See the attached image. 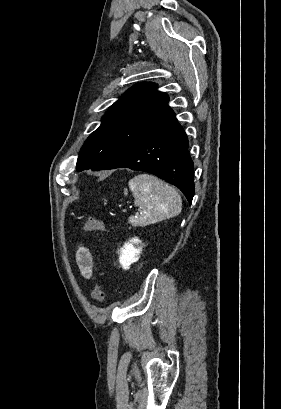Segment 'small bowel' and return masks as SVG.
Returning <instances> with one entry per match:
<instances>
[{"label": "small bowel", "mask_w": 281, "mask_h": 409, "mask_svg": "<svg viewBox=\"0 0 281 409\" xmlns=\"http://www.w3.org/2000/svg\"><path fill=\"white\" fill-rule=\"evenodd\" d=\"M75 260L78 269L84 278H90L93 270V257L89 249L79 245L76 249Z\"/></svg>", "instance_id": "obj_1"}]
</instances>
